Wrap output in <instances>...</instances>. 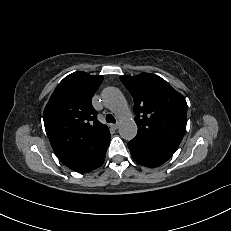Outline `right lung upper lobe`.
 Wrapping results in <instances>:
<instances>
[{
    "label": "right lung upper lobe",
    "instance_id": "cb5924a9",
    "mask_svg": "<svg viewBox=\"0 0 231 231\" xmlns=\"http://www.w3.org/2000/svg\"><path fill=\"white\" fill-rule=\"evenodd\" d=\"M102 81L100 75L72 73L58 84L45 107L43 119L51 146L72 170L92 162L110 135L91 103Z\"/></svg>",
    "mask_w": 231,
    "mask_h": 231
}]
</instances>
